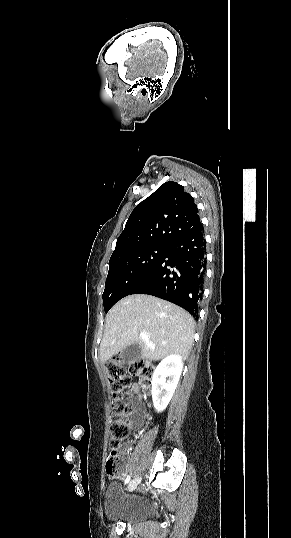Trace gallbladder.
Returning a JSON list of instances; mask_svg holds the SVG:
<instances>
[{"mask_svg":"<svg viewBox=\"0 0 291 538\" xmlns=\"http://www.w3.org/2000/svg\"><path fill=\"white\" fill-rule=\"evenodd\" d=\"M121 360L124 364L137 360L141 357V347L138 343L132 344L125 348L120 354Z\"/></svg>","mask_w":291,"mask_h":538,"instance_id":"obj_1","label":"gallbladder"}]
</instances>
